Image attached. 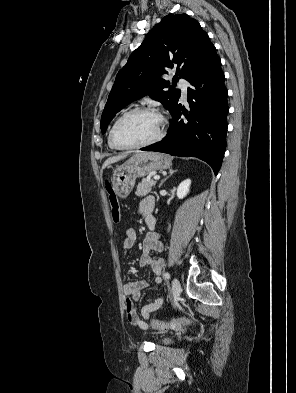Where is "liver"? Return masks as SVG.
I'll return each mask as SVG.
<instances>
[{"instance_id": "6515ba94", "label": "liver", "mask_w": 296, "mask_h": 393, "mask_svg": "<svg viewBox=\"0 0 296 393\" xmlns=\"http://www.w3.org/2000/svg\"><path fill=\"white\" fill-rule=\"evenodd\" d=\"M127 155H128V153H123V154H121V155H117V156H113V157L108 158V159L104 162V164H103V169H105V168H106L108 165H110V164L116 163V162H118V161H120V160L126 158Z\"/></svg>"}]
</instances>
